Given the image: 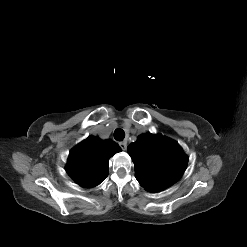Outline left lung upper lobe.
I'll return each instance as SVG.
<instances>
[{
  "mask_svg": "<svg viewBox=\"0 0 247 247\" xmlns=\"http://www.w3.org/2000/svg\"><path fill=\"white\" fill-rule=\"evenodd\" d=\"M135 164V177L151 192L166 189L183 175L188 157L174 140L160 134L145 133L127 148Z\"/></svg>",
  "mask_w": 247,
  "mask_h": 247,
  "instance_id": "5c2ea615",
  "label": "left lung upper lobe"
}]
</instances>
